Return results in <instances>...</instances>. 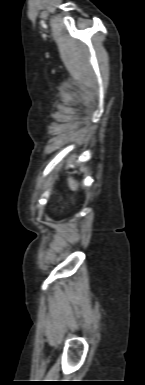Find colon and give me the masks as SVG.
<instances>
[{"mask_svg": "<svg viewBox=\"0 0 145 385\" xmlns=\"http://www.w3.org/2000/svg\"><path fill=\"white\" fill-rule=\"evenodd\" d=\"M68 184L71 189L75 190L79 187L78 182L71 176L68 177Z\"/></svg>", "mask_w": 145, "mask_h": 385, "instance_id": "obj_1", "label": "colon"}]
</instances>
